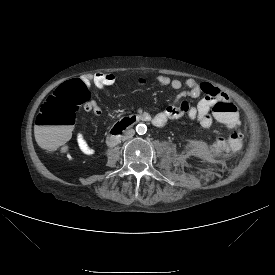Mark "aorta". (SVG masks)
Segmentation results:
<instances>
[{"instance_id": "aorta-1", "label": "aorta", "mask_w": 275, "mask_h": 275, "mask_svg": "<svg viewBox=\"0 0 275 275\" xmlns=\"http://www.w3.org/2000/svg\"><path fill=\"white\" fill-rule=\"evenodd\" d=\"M147 131V126L145 124H138L136 126V132L139 134V135H143L145 134Z\"/></svg>"}]
</instances>
